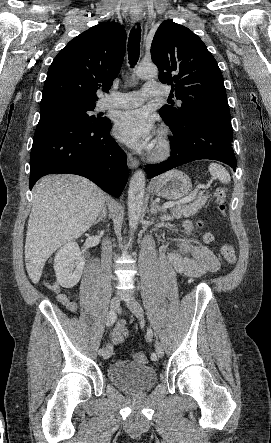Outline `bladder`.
<instances>
[{"instance_id": "obj_1", "label": "bladder", "mask_w": 271, "mask_h": 443, "mask_svg": "<svg viewBox=\"0 0 271 443\" xmlns=\"http://www.w3.org/2000/svg\"><path fill=\"white\" fill-rule=\"evenodd\" d=\"M107 375L113 385L128 393L148 391L157 382L154 368L130 360H117L111 363Z\"/></svg>"}]
</instances>
